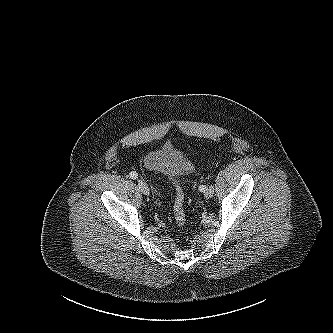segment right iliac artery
<instances>
[{
    "instance_id": "1",
    "label": "right iliac artery",
    "mask_w": 333,
    "mask_h": 333,
    "mask_svg": "<svg viewBox=\"0 0 333 333\" xmlns=\"http://www.w3.org/2000/svg\"><path fill=\"white\" fill-rule=\"evenodd\" d=\"M129 176H130L131 179H134V180L138 178V174H137L136 172H134V171H132V172L129 174Z\"/></svg>"
}]
</instances>
